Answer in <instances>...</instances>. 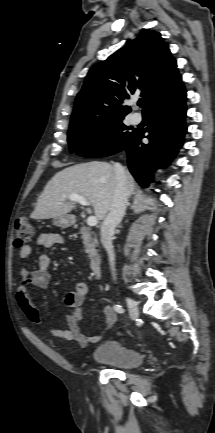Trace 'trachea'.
Wrapping results in <instances>:
<instances>
[{"label": "trachea", "mask_w": 215, "mask_h": 433, "mask_svg": "<svg viewBox=\"0 0 215 433\" xmlns=\"http://www.w3.org/2000/svg\"><path fill=\"white\" fill-rule=\"evenodd\" d=\"M138 106H140L141 108H144V101L142 99H140L138 101Z\"/></svg>", "instance_id": "obj_1"}]
</instances>
